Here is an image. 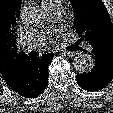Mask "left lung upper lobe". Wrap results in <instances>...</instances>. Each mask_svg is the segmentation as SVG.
<instances>
[{"label":"left lung upper lobe","mask_w":113,"mask_h":113,"mask_svg":"<svg viewBox=\"0 0 113 113\" xmlns=\"http://www.w3.org/2000/svg\"><path fill=\"white\" fill-rule=\"evenodd\" d=\"M75 11L79 41L113 51V24L102 0H70Z\"/></svg>","instance_id":"obj_1"}]
</instances>
